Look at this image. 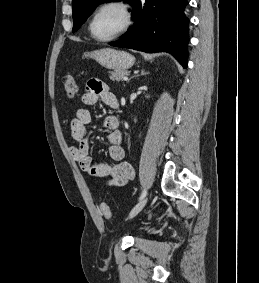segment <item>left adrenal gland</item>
<instances>
[{"mask_svg":"<svg viewBox=\"0 0 259 283\" xmlns=\"http://www.w3.org/2000/svg\"><path fill=\"white\" fill-rule=\"evenodd\" d=\"M146 74H148V72H145V70H141V74L140 75H146Z\"/></svg>","mask_w":259,"mask_h":283,"instance_id":"a2214340","label":"left adrenal gland"}]
</instances>
